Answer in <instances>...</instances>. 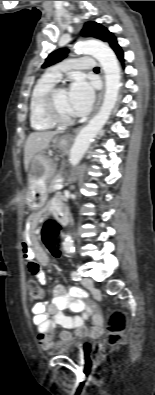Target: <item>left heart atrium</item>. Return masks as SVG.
Returning <instances> with one entry per match:
<instances>
[{
    "instance_id": "39dd6f15",
    "label": "left heart atrium",
    "mask_w": 155,
    "mask_h": 395,
    "mask_svg": "<svg viewBox=\"0 0 155 395\" xmlns=\"http://www.w3.org/2000/svg\"><path fill=\"white\" fill-rule=\"evenodd\" d=\"M94 101V89L84 77H76L68 91V102L73 116L86 115Z\"/></svg>"
}]
</instances>
